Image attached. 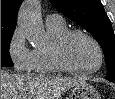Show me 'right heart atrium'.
Here are the masks:
<instances>
[{
  "mask_svg": "<svg viewBox=\"0 0 115 99\" xmlns=\"http://www.w3.org/2000/svg\"><path fill=\"white\" fill-rule=\"evenodd\" d=\"M8 55L17 71L30 70L32 50L27 46L26 36L21 27H17L10 37Z\"/></svg>",
  "mask_w": 115,
  "mask_h": 99,
  "instance_id": "obj_1",
  "label": "right heart atrium"
}]
</instances>
